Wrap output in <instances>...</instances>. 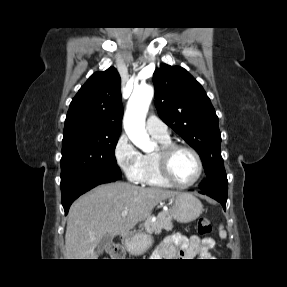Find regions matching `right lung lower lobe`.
I'll use <instances>...</instances> for the list:
<instances>
[{"instance_id":"1","label":"right lung lower lobe","mask_w":287,"mask_h":287,"mask_svg":"<svg viewBox=\"0 0 287 287\" xmlns=\"http://www.w3.org/2000/svg\"><path fill=\"white\" fill-rule=\"evenodd\" d=\"M117 177H110L101 174H84L66 180L61 183L62 205L65 214L68 213L70 205L73 201L83 193L94 188L99 184L114 182Z\"/></svg>"}]
</instances>
